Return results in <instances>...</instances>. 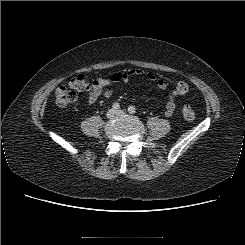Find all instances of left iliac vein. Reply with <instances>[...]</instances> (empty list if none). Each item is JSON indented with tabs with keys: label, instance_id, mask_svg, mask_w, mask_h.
Segmentation results:
<instances>
[{
	"label": "left iliac vein",
	"instance_id": "left-iliac-vein-1",
	"mask_svg": "<svg viewBox=\"0 0 245 245\" xmlns=\"http://www.w3.org/2000/svg\"><path fill=\"white\" fill-rule=\"evenodd\" d=\"M116 114H117V115H124L125 112H124L123 110H117V111H116Z\"/></svg>",
	"mask_w": 245,
	"mask_h": 245
}]
</instances>
